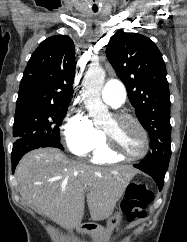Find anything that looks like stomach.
Instances as JSON below:
<instances>
[{
    "label": "stomach",
    "mask_w": 187,
    "mask_h": 242,
    "mask_svg": "<svg viewBox=\"0 0 187 242\" xmlns=\"http://www.w3.org/2000/svg\"><path fill=\"white\" fill-rule=\"evenodd\" d=\"M121 219V211H119L108 218L105 228L100 225L91 228V236L94 242H109L113 230L120 225Z\"/></svg>",
    "instance_id": "1"
}]
</instances>
